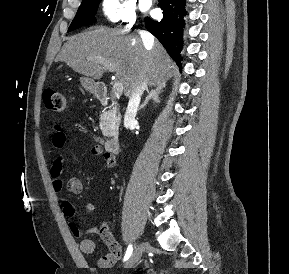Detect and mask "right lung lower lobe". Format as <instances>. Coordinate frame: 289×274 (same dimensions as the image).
I'll return each instance as SVG.
<instances>
[{
    "mask_svg": "<svg viewBox=\"0 0 289 274\" xmlns=\"http://www.w3.org/2000/svg\"><path fill=\"white\" fill-rule=\"evenodd\" d=\"M163 10V19L154 21L145 18V26L165 47L172 59L181 68L180 52L182 46L183 17L186 15V0H158Z\"/></svg>",
    "mask_w": 289,
    "mask_h": 274,
    "instance_id": "obj_1",
    "label": "right lung lower lobe"
}]
</instances>
